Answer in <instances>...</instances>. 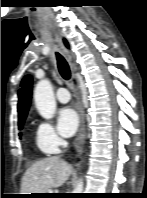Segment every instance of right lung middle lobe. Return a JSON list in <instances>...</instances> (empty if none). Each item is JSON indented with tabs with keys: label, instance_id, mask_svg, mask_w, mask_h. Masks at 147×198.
<instances>
[{
	"label": "right lung middle lobe",
	"instance_id": "dd1d6c3e",
	"mask_svg": "<svg viewBox=\"0 0 147 198\" xmlns=\"http://www.w3.org/2000/svg\"><path fill=\"white\" fill-rule=\"evenodd\" d=\"M24 121H25V119L18 121V128H19V130H21L23 128Z\"/></svg>",
	"mask_w": 147,
	"mask_h": 198
}]
</instances>
